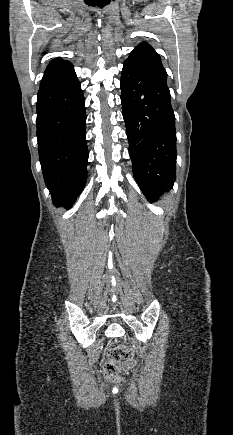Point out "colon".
I'll return each mask as SVG.
<instances>
[{
    "label": "colon",
    "mask_w": 233,
    "mask_h": 435,
    "mask_svg": "<svg viewBox=\"0 0 233 435\" xmlns=\"http://www.w3.org/2000/svg\"><path fill=\"white\" fill-rule=\"evenodd\" d=\"M133 357L132 348L126 345H117L109 350L107 361L103 365L104 378L109 382H117L120 376L118 363Z\"/></svg>",
    "instance_id": "obj_1"
}]
</instances>
